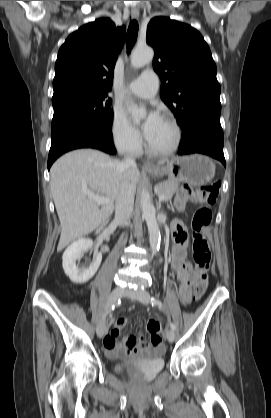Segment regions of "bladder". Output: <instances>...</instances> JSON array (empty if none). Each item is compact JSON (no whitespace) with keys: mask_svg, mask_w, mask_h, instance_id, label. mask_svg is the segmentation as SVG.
<instances>
[{"mask_svg":"<svg viewBox=\"0 0 271 418\" xmlns=\"http://www.w3.org/2000/svg\"><path fill=\"white\" fill-rule=\"evenodd\" d=\"M163 353V351L158 353L153 352L149 357L140 363L139 368L145 380L155 378L164 369L165 360ZM122 369L123 366L120 365L118 370L121 371Z\"/></svg>","mask_w":271,"mask_h":418,"instance_id":"obj_1","label":"bladder"}]
</instances>
